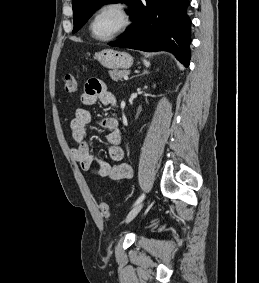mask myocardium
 Instances as JSON below:
<instances>
[{"mask_svg": "<svg viewBox=\"0 0 259 283\" xmlns=\"http://www.w3.org/2000/svg\"><path fill=\"white\" fill-rule=\"evenodd\" d=\"M110 9H114L116 11H118L122 17V24L121 26L111 35L107 36V37H97L94 35L93 33V23L95 21V19L104 11L110 10ZM131 24V13L129 11V8L127 7L126 4H124L121 1H109L107 3L102 4L101 6H99L94 13L92 14L90 21H89V25H88V30L90 33V36L99 42H108L111 41L115 38H117L118 36H120L121 34H123L128 27Z\"/></svg>", "mask_w": 259, "mask_h": 283, "instance_id": "myocardium-1", "label": "myocardium"}]
</instances>
